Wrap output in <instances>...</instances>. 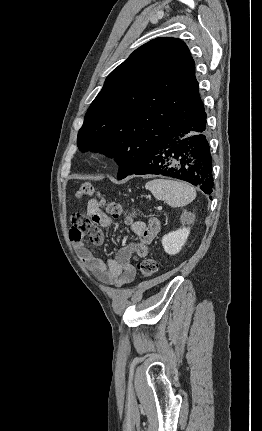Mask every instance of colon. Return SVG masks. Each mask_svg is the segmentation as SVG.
I'll use <instances>...</instances> for the list:
<instances>
[{"instance_id": "5ec220e1", "label": "colon", "mask_w": 262, "mask_h": 431, "mask_svg": "<svg viewBox=\"0 0 262 431\" xmlns=\"http://www.w3.org/2000/svg\"><path fill=\"white\" fill-rule=\"evenodd\" d=\"M76 196L79 199L96 197L99 205L105 207L106 212L111 217L119 218L124 215L123 205L115 200H107L105 196L96 192L94 186L90 183H83L80 185L76 192ZM73 224L78 220L77 215H73L71 218ZM130 221V218H128ZM158 270V263L153 258L143 259L137 264V271L140 277L149 278L152 277Z\"/></svg>"}]
</instances>
